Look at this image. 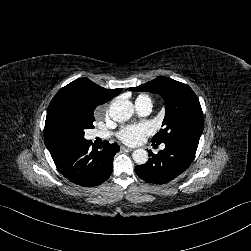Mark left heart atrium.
I'll return each instance as SVG.
<instances>
[{
  "label": "left heart atrium",
  "mask_w": 251,
  "mask_h": 251,
  "mask_svg": "<svg viewBox=\"0 0 251 251\" xmlns=\"http://www.w3.org/2000/svg\"><path fill=\"white\" fill-rule=\"evenodd\" d=\"M154 132V126L150 123H142L137 125H127L122 127L117 136L120 141L125 144H134L141 142L145 137Z\"/></svg>",
  "instance_id": "left-heart-atrium-1"
}]
</instances>
